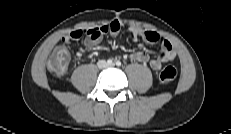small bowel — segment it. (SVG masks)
Returning a JSON list of instances; mask_svg holds the SVG:
<instances>
[{
  "label": "small bowel",
  "instance_id": "small-bowel-1",
  "mask_svg": "<svg viewBox=\"0 0 231 134\" xmlns=\"http://www.w3.org/2000/svg\"><path fill=\"white\" fill-rule=\"evenodd\" d=\"M121 24L119 21L114 20L110 24L88 30H75L64 36L63 41L65 43H72L79 39L83 35H86L84 40V46L88 49L93 48L99 44L105 34H110L116 37L120 32ZM132 35L135 40L142 38L144 41L150 44L159 45L161 50L157 58L151 59L148 53L145 51L133 52L130 57L132 60L140 63L148 64L153 70L161 69L162 65L167 62H172L176 58V52L173 49L171 43L164 39L162 36L153 31H142L137 28L131 29ZM80 55H85L84 51L79 50Z\"/></svg>",
  "mask_w": 231,
  "mask_h": 134
}]
</instances>
